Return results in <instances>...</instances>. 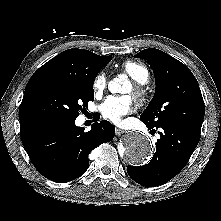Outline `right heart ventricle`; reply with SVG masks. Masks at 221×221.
I'll use <instances>...</instances> for the list:
<instances>
[{
    "mask_svg": "<svg viewBox=\"0 0 221 221\" xmlns=\"http://www.w3.org/2000/svg\"><path fill=\"white\" fill-rule=\"evenodd\" d=\"M122 70L139 84H146L150 79L147 67L138 61L127 60L122 63Z\"/></svg>",
    "mask_w": 221,
    "mask_h": 221,
    "instance_id": "1",
    "label": "right heart ventricle"
}]
</instances>
